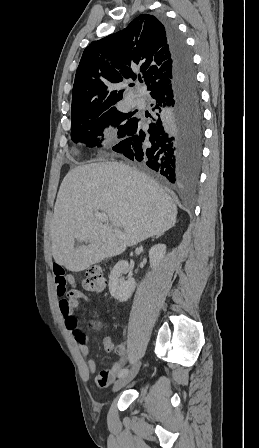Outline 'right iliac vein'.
I'll list each match as a JSON object with an SVG mask.
<instances>
[{"mask_svg":"<svg viewBox=\"0 0 259 448\" xmlns=\"http://www.w3.org/2000/svg\"><path fill=\"white\" fill-rule=\"evenodd\" d=\"M139 369H140V362H137L127 374H125L123 377H121L120 379H118L115 382V384L113 386V391L116 392V391L120 390L122 387H124L126 384H128L132 379H134V377L137 375Z\"/></svg>","mask_w":259,"mask_h":448,"instance_id":"63e3f726","label":"right iliac vein"}]
</instances>
